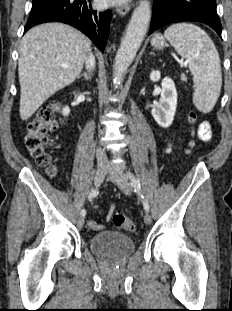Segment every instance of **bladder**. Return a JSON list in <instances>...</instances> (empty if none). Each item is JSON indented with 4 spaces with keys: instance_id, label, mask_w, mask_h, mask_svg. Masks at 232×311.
Listing matches in <instances>:
<instances>
[{
    "instance_id": "1",
    "label": "bladder",
    "mask_w": 232,
    "mask_h": 311,
    "mask_svg": "<svg viewBox=\"0 0 232 311\" xmlns=\"http://www.w3.org/2000/svg\"><path fill=\"white\" fill-rule=\"evenodd\" d=\"M90 247L93 253L105 260L116 262L130 255L135 243L131 237L121 232L107 230L92 236Z\"/></svg>"
}]
</instances>
